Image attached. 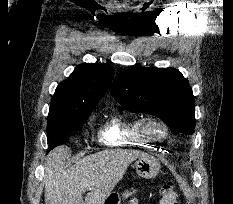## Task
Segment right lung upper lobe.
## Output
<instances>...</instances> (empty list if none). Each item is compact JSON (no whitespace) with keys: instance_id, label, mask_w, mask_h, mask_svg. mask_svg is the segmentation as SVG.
<instances>
[{"instance_id":"1","label":"right lung upper lobe","mask_w":233,"mask_h":204,"mask_svg":"<svg viewBox=\"0 0 233 204\" xmlns=\"http://www.w3.org/2000/svg\"><path fill=\"white\" fill-rule=\"evenodd\" d=\"M114 75L108 64L84 63L62 81L52 98L48 123L93 111L103 97Z\"/></svg>"}]
</instances>
